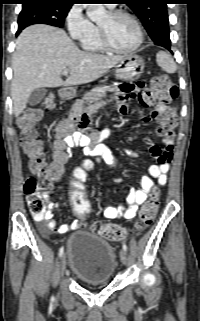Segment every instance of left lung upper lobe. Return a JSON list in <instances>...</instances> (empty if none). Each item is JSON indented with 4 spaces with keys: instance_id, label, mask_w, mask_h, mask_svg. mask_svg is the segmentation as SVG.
Instances as JSON below:
<instances>
[{
    "instance_id": "left-lung-upper-lobe-1",
    "label": "left lung upper lobe",
    "mask_w": 200,
    "mask_h": 321,
    "mask_svg": "<svg viewBox=\"0 0 200 321\" xmlns=\"http://www.w3.org/2000/svg\"><path fill=\"white\" fill-rule=\"evenodd\" d=\"M123 2L139 17L156 45L165 47L171 44L166 5L168 0H123Z\"/></svg>"
}]
</instances>
